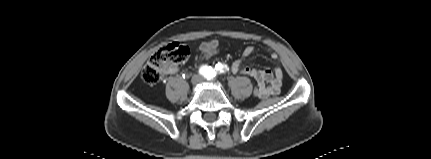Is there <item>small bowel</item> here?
Returning <instances> with one entry per match:
<instances>
[{
    "mask_svg": "<svg viewBox=\"0 0 431 159\" xmlns=\"http://www.w3.org/2000/svg\"><path fill=\"white\" fill-rule=\"evenodd\" d=\"M209 48H215L219 49V42L217 40H210L203 42L199 47V49H202V54L205 57H211L207 56L206 53H204V50H207ZM254 47L248 46L244 49L242 52L241 58L235 60L231 66L230 70L233 73H240L245 74L247 76L252 77L256 81V86L260 88L259 97L261 99H267L270 96H274L279 94L281 86H282V80H283V71L280 67H275L273 70L265 69V70H259L253 67L244 66V61L248 60L254 53ZM213 56V55H212ZM272 59L276 60L277 55L275 53H272L271 55ZM178 70L176 66L171 67L168 72L174 73Z\"/></svg>",
    "mask_w": 431,
    "mask_h": 159,
    "instance_id": "small-bowel-1",
    "label": "small bowel"
}]
</instances>
